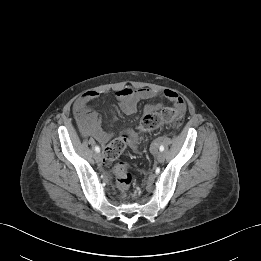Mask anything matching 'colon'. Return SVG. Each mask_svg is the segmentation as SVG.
Listing matches in <instances>:
<instances>
[{
  "instance_id": "obj_1",
  "label": "colon",
  "mask_w": 261,
  "mask_h": 261,
  "mask_svg": "<svg viewBox=\"0 0 261 261\" xmlns=\"http://www.w3.org/2000/svg\"><path fill=\"white\" fill-rule=\"evenodd\" d=\"M184 122V112L171 108H164L158 111L145 113L141 122L140 130L148 132L155 130L163 125H171L175 129H180ZM138 137H129L126 135L115 138L105 149L103 155V166L109 167L125 151L132 142H138ZM115 183L121 192L127 191L132 183L133 177L125 164H118L114 170Z\"/></svg>"
}]
</instances>
